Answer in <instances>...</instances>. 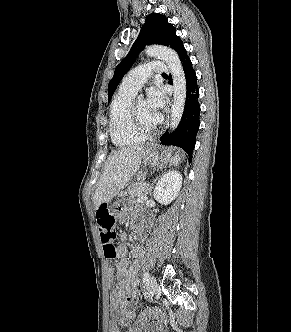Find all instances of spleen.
I'll return each instance as SVG.
<instances>
[{
	"label": "spleen",
	"instance_id": "obj_1",
	"mask_svg": "<svg viewBox=\"0 0 291 332\" xmlns=\"http://www.w3.org/2000/svg\"><path fill=\"white\" fill-rule=\"evenodd\" d=\"M181 161V157L180 155L178 154L176 157H174L171 161H170V165H178Z\"/></svg>",
	"mask_w": 291,
	"mask_h": 332
}]
</instances>
